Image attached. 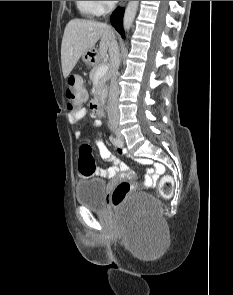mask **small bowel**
<instances>
[{
  "mask_svg": "<svg viewBox=\"0 0 233 295\" xmlns=\"http://www.w3.org/2000/svg\"><path fill=\"white\" fill-rule=\"evenodd\" d=\"M87 115V111L84 107L79 105L69 116V121L72 125L77 126ZM95 125L100 126L101 121L95 120ZM96 144L99 150V154L103 161L110 165L107 169H96L95 174L106 179L114 178L118 173H123L129 171V167L120 161L118 157L113 155L107 146L105 145L103 139L98 137L96 139ZM118 152L120 154H125L126 151L122 147H118ZM138 162L148 166V171L150 173L147 178V185L152 186L157 179V177L163 172V166L160 163H153L149 159L141 158L138 159Z\"/></svg>",
  "mask_w": 233,
  "mask_h": 295,
  "instance_id": "obj_1",
  "label": "small bowel"
}]
</instances>
